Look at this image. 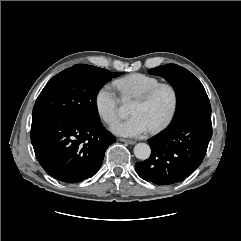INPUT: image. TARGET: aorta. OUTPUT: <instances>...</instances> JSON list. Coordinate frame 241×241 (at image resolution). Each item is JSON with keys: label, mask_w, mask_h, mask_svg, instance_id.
Masks as SVG:
<instances>
[{"label": "aorta", "mask_w": 241, "mask_h": 241, "mask_svg": "<svg viewBox=\"0 0 241 241\" xmlns=\"http://www.w3.org/2000/svg\"><path fill=\"white\" fill-rule=\"evenodd\" d=\"M121 112L124 113L126 111V106H122L120 108ZM151 154L150 146L146 143H138L134 147V155L136 158L140 160H146L149 158Z\"/></svg>", "instance_id": "aorta-1"}]
</instances>
